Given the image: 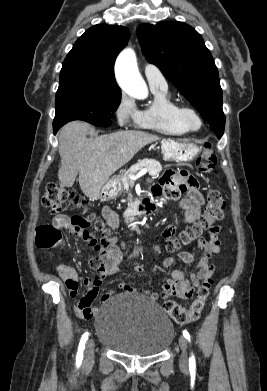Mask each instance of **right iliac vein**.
Returning a JSON list of instances; mask_svg holds the SVG:
<instances>
[{
	"label": "right iliac vein",
	"mask_w": 267,
	"mask_h": 391,
	"mask_svg": "<svg viewBox=\"0 0 267 391\" xmlns=\"http://www.w3.org/2000/svg\"><path fill=\"white\" fill-rule=\"evenodd\" d=\"M94 348L95 342L91 338L86 343V348L84 352V366L89 367L94 361Z\"/></svg>",
	"instance_id": "63e3f726"
}]
</instances>
